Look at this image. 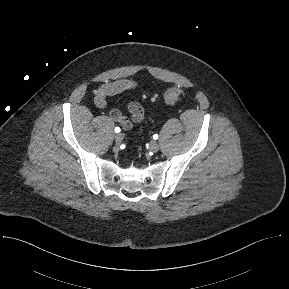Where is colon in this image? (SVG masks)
<instances>
[{"label": "colon", "instance_id": "colon-1", "mask_svg": "<svg viewBox=\"0 0 289 289\" xmlns=\"http://www.w3.org/2000/svg\"><path fill=\"white\" fill-rule=\"evenodd\" d=\"M183 94L184 92L182 89L178 87H172L164 93L163 100L167 104H173L176 101H178L182 97ZM153 99L155 100L156 97L154 96Z\"/></svg>", "mask_w": 289, "mask_h": 289}]
</instances>
